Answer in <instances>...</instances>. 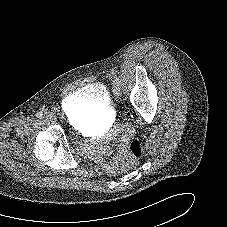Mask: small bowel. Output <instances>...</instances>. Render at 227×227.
I'll return each instance as SVG.
<instances>
[{
    "mask_svg": "<svg viewBox=\"0 0 227 227\" xmlns=\"http://www.w3.org/2000/svg\"><path fill=\"white\" fill-rule=\"evenodd\" d=\"M119 156H113L108 162L102 163V167L110 174H115L118 170Z\"/></svg>",
    "mask_w": 227,
    "mask_h": 227,
    "instance_id": "small-bowel-1",
    "label": "small bowel"
}]
</instances>
